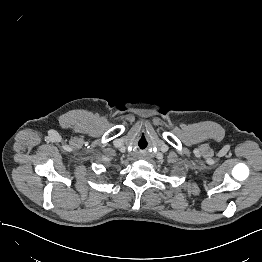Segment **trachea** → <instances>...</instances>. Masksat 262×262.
Segmentation results:
<instances>
[{
    "mask_svg": "<svg viewBox=\"0 0 262 262\" xmlns=\"http://www.w3.org/2000/svg\"><path fill=\"white\" fill-rule=\"evenodd\" d=\"M138 145L140 148H145L147 146V140L144 136L139 138Z\"/></svg>",
    "mask_w": 262,
    "mask_h": 262,
    "instance_id": "3493384b",
    "label": "trachea"
}]
</instances>
